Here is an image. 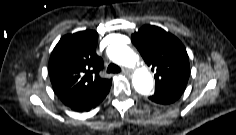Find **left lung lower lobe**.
<instances>
[{"label":"left lung lower lobe","instance_id":"1","mask_svg":"<svg viewBox=\"0 0 236 135\" xmlns=\"http://www.w3.org/2000/svg\"><path fill=\"white\" fill-rule=\"evenodd\" d=\"M186 84H174L155 88L149 99L158 104H171L177 101L184 92Z\"/></svg>","mask_w":236,"mask_h":135}]
</instances>
